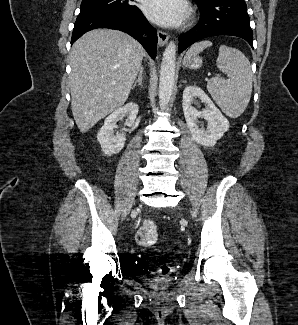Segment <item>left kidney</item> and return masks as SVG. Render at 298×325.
Returning <instances> with one entry per match:
<instances>
[{"label": "left kidney", "instance_id": "1", "mask_svg": "<svg viewBox=\"0 0 298 325\" xmlns=\"http://www.w3.org/2000/svg\"><path fill=\"white\" fill-rule=\"evenodd\" d=\"M195 98H200L201 102H204L205 108L197 110L195 106H192ZM182 108L186 124L194 140L202 146H214L230 126L228 118L222 114L200 86H185L182 94ZM198 118L207 120L206 130L199 128Z\"/></svg>", "mask_w": 298, "mask_h": 325}]
</instances>
